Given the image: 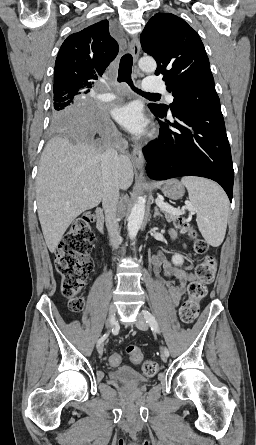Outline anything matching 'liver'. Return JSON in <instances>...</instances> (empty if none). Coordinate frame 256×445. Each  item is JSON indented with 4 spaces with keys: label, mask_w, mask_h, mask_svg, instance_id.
<instances>
[{
    "label": "liver",
    "mask_w": 256,
    "mask_h": 445,
    "mask_svg": "<svg viewBox=\"0 0 256 445\" xmlns=\"http://www.w3.org/2000/svg\"><path fill=\"white\" fill-rule=\"evenodd\" d=\"M103 150L88 140L72 144L67 138L48 141L41 155L36 178L38 216L45 242L54 252L70 224L103 198ZM130 159L119 156V188L133 182ZM87 189V192H83Z\"/></svg>",
    "instance_id": "obj_1"
}]
</instances>
